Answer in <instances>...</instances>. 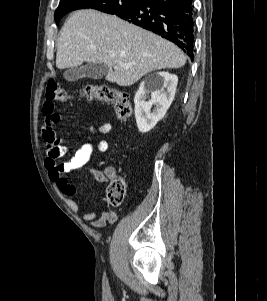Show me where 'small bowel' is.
Instances as JSON below:
<instances>
[{
  "instance_id": "c3829d8e",
  "label": "small bowel",
  "mask_w": 267,
  "mask_h": 301,
  "mask_svg": "<svg viewBox=\"0 0 267 301\" xmlns=\"http://www.w3.org/2000/svg\"><path fill=\"white\" fill-rule=\"evenodd\" d=\"M42 112L45 117L42 125V137L46 143L45 168L59 195L63 198L69 209L77 214L79 206L74 199L77 195V189L69 182L66 174L84 168L90 161L93 152L95 150L100 152L107 151L109 143L106 140L87 141L75 151L68 161L58 163L57 160L67 154L68 148L62 144L55 132V125L60 121L61 116L57 112L54 100L46 99L42 107ZM88 131L91 135H108L112 131V125L109 122L102 123L99 126L90 125ZM87 172L98 182H107L109 175L113 173L111 169L103 173L93 168H88ZM82 219L88 222L93 228H101L107 224L116 222L118 215L113 210L104 211L101 215H98L96 211H90L84 213Z\"/></svg>"
}]
</instances>
